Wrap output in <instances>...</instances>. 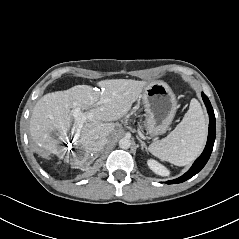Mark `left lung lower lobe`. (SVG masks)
Segmentation results:
<instances>
[{"label":"left lung lower lobe","mask_w":239,"mask_h":239,"mask_svg":"<svg viewBox=\"0 0 239 239\" xmlns=\"http://www.w3.org/2000/svg\"><path fill=\"white\" fill-rule=\"evenodd\" d=\"M202 98L207 107V111L209 114V120H210L208 139H207V144L205 146V149H204L203 153L200 155V157L196 159V161L194 162L192 167L184 175H182L181 177H179L177 179L167 181V184L181 183V182H184V181L190 179L195 174H197L199 171H201V169L205 166V164L207 163V161L211 155L214 141H215V136H216L215 115H214V111L212 109V106H211V103H210L208 97L203 92H202Z\"/></svg>","instance_id":"1"}]
</instances>
